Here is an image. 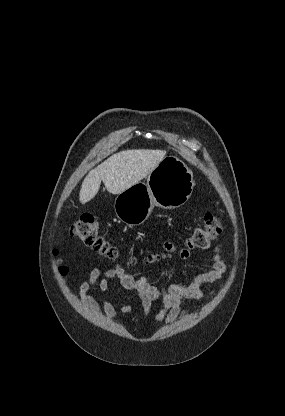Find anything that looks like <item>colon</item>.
Wrapping results in <instances>:
<instances>
[{"instance_id": "1", "label": "colon", "mask_w": 285, "mask_h": 416, "mask_svg": "<svg viewBox=\"0 0 285 416\" xmlns=\"http://www.w3.org/2000/svg\"><path fill=\"white\" fill-rule=\"evenodd\" d=\"M222 232V224L219 218L213 213H206L202 227L193 231L187 240V247L191 250H205L213 240ZM71 235L87 247L112 260L119 258L116 247L111 245L99 232L96 219L90 214L82 215L72 226ZM152 261L158 259L157 255L150 256ZM65 273L66 268H60Z\"/></svg>"}]
</instances>
